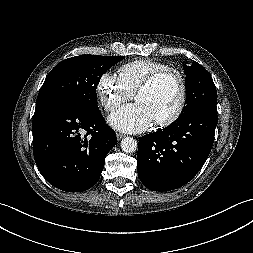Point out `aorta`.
Instances as JSON below:
<instances>
[{
    "label": "aorta",
    "mask_w": 253,
    "mask_h": 253,
    "mask_svg": "<svg viewBox=\"0 0 253 253\" xmlns=\"http://www.w3.org/2000/svg\"><path fill=\"white\" fill-rule=\"evenodd\" d=\"M137 147V141L132 137H126L121 141V149L126 153L135 152Z\"/></svg>",
    "instance_id": "aorta-1"
}]
</instances>
